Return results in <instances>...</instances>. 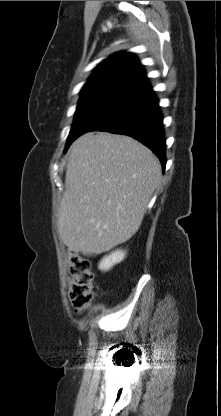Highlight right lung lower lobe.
Returning <instances> with one entry per match:
<instances>
[{"mask_svg": "<svg viewBox=\"0 0 221 416\" xmlns=\"http://www.w3.org/2000/svg\"><path fill=\"white\" fill-rule=\"evenodd\" d=\"M162 119L158 100L150 88L123 99L91 131H107L133 137L158 156L164 171L166 147Z\"/></svg>", "mask_w": 221, "mask_h": 416, "instance_id": "obj_1", "label": "right lung lower lobe"}]
</instances>
